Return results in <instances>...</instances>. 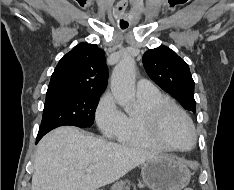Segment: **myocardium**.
<instances>
[{"label": "myocardium", "instance_id": "obj_1", "mask_svg": "<svg viewBox=\"0 0 234 190\" xmlns=\"http://www.w3.org/2000/svg\"><path fill=\"white\" fill-rule=\"evenodd\" d=\"M170 113L179 114L188 124L192 133V140L187 147L175 146L171 144L164 136V122ZM144 116L147 120L148 127L153 138L166 149L172 151H188L195 145L197 134L192 119L180 106L173 103L172 101H164L156 104L149 111H147Z\"/></svg>", "mask_w": 234, "mask_h": 190}]
</instances>
